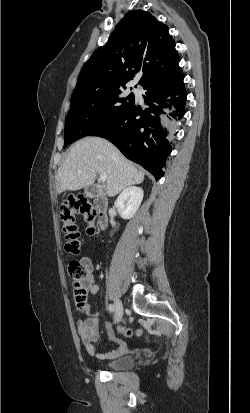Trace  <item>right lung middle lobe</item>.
I'll return each instance as SVG.
<instances>
[{
  "label": "right lung middle lobe",
  "instance_id": "1",
  "mask_svg": "<svg viewBox=\"0 0 250 413\" xmlns=\"http://www.w3.org/2000/svg\"><path fill=\"white\" fill-rule=\"evenodd\" d=\"M134 103V94L125 96L122 88L73 94L64 131V148L89 136Z\"/></svg>",
  "mask_w": 250,
  "mask_h": 413
}]
</instances>
